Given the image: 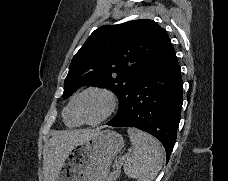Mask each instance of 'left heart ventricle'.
Masks as SVG:
<instances>
[{
  "mask_svg": "<svg viewBox=\"0 0 228 181\" xmlns=\"http://www.w3.org/2000/svg\"><path fill=\"white\" fill-rule=\"evenodd\" d=\"M105 100L96 93H88L82 96L78 102V108L87 119L98 117L104 107Z\"/></svg>",
  "mask_w": 228,
  "mask_h": 181,
  "instance_id": "left-heart-ventricle-1",
  "label": "left heart ventricle"
}]
</instances>
